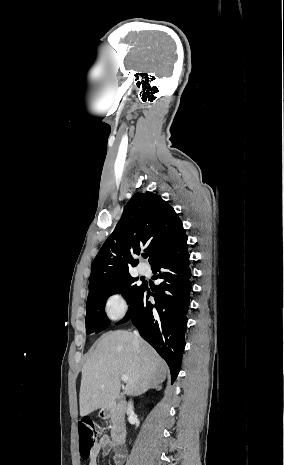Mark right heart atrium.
I'll list each match as a JSON object with an SVG mask.
<instances>
[{
	"label": "right heart atrium",
	"instance_id": "d8ad5b80",
	"mask_svg": "<svg viewBox=\"0 0 284 465\" xmlns=\"http://www.w3.org/2000/svg\"><path fill=\"white\" fill-rule=\"evenodd\" d=\"M102 308L110 320L118 321L128 315L130 302L122 291H115L105 297Z\"/></svg>",
	"mask_w": 284,
	"mask_h": 465
}]
</instances>
